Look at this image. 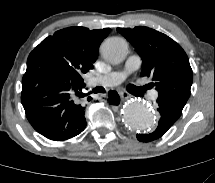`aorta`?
<instances>
[{
	"instance_id": "obj_1",
	"label": "aorta",
	"mask_w": 215,
	"mask_h": 183,
	"mask_svg": "<svg viewBox=\"0 0 215 183\" xmlns=\"http://www.w3.org/2000/svg\"><path fill=\"white\" fill-rule=\"evenodd\" d=\"M103 57L112 64L121 63L127 54V43L119 37L105 40L101 46ZM122 120L127 128L135 132H144L154 128L156 116L152 110L140 101H129L122 109Z\"/></svg>"
}]
</instances>
